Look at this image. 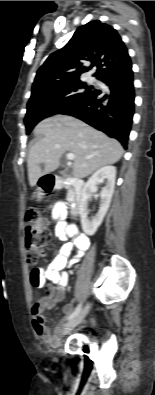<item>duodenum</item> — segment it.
<instances>
[{"label":"duodenum","instance_id":"obj_1","mask_svg":"<svg viewBox=\"0 0 155 395\" xmlns=\"http://www.w3.org/2000/svg\"><path fill=\"white\" fill-rule=\"evenodd\" d=\"M44 187L46 190L67 188V200L74 215L80 211V206L83 199L84 182L78 178H63L48 174L44 177Z\"/></svg>","mask_w":155,"mask_h":395}]
</instances>
